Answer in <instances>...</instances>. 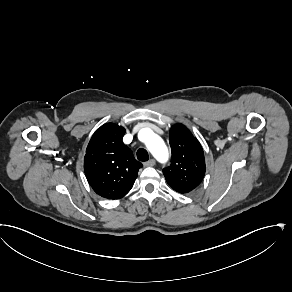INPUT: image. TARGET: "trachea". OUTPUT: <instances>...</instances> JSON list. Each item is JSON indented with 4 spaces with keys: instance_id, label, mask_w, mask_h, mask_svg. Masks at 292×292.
Segmentation results:
<instances>
[{
    "instance_id": "trachea-1",
    "label": "trachea",
    "mask_w": 292,
    "mask_h": 292,
    "mask_svg": "<svg viewBox=\"0 0 292 292\" xmlns=\"http://www.w3.org/2000/svg\"><path fill=\"white\" fill-rule=\"evenodd\" d=\"M137 159L139 160V161H148V159H149V155H148V152H147V150L146 149H144V148H139L138 150H137Z\"/></svg>"
}]
</instances>
